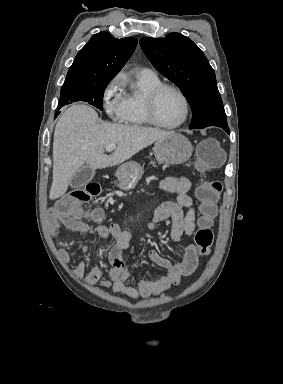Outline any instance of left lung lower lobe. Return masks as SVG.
I'll return each mask as SVG.
<instances>
[{"label":"left lung lower lobe","mask_w":283,"mask_h":384,"mask_svg":"<svg viewBox=\"0 0 283 384\" xmlns=\"http://www.w3.org/2000/svg\"><path fill=\"white\" fill-rule=\"evenodd\" d=\"M219 127L223 128L228 134L230 133L229 128L227 125H220Z\"/></svg>","instance_id":"left-lung-lower-lobe-1"}]
</instances>
